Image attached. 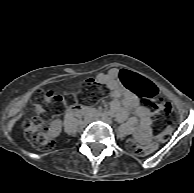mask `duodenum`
Returning a JSON list of instances; mask_svg holds the SVG:
<instances>
[{
    "label": "duodenum",
    "instance_id": "410a0bca",
    "mask_svg": "<svg viewBox=\"0 0 194 193\" xmlns=\"http://www.w3.org/2000/svg\"><path fill=\"white\" fill-rule=\"evenodd\" d=\"M69 112L74 115H93L101 119L106 118V114L103 112L95 111L85 106L74 105L69 108Z\"/></svg>",
    "mask_w": 194,
    "mask_h": 193
}]
</instances>
